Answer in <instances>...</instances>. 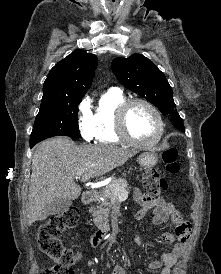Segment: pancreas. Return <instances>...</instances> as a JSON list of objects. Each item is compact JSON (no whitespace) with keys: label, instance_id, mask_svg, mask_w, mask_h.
Returning <instances> with one entry per match:
<instances>
[{"label":"pancreas","instance_id":"1","mask_svg":"<svg viewBox=\"0 0 221 274\" xmlns=\"http://www.w3.org/2000/svg\"><path fill=\"white\" fill-rule=\"evenodd\" d=\"M129 188L126 179L119 178L113 180L101 192L93 194L92 200L100 204L90 208V213H92L94 223L97 227H107L110 208L117 199V193L127 196ZM116 189H118L119 192H116ZM99 198H103V200Z\"/></svg>","mask_w":221,"mask_h":274}]
</instances>
